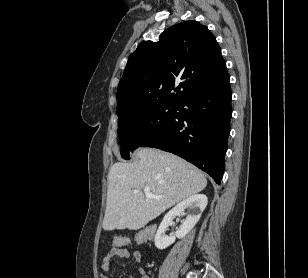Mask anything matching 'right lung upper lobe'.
<instances>
[{"label":"right lung upper lobe","mask_w":308,"mask_h":278,"mask_svg":"<svg viewBox=\"0 0 308 278\" xmlns=\"http://www.w3.org/2000/svg\"><path fill=\"white\" fill-rule=\"evenodd\" d=\"M228 78L220 47L206 26L193 20L174 25L158 42L143 41L129 56L117 91L119 121L141 108L178 104Z\"/></svg>","instance_id":"obj_1"}]
</instances>
